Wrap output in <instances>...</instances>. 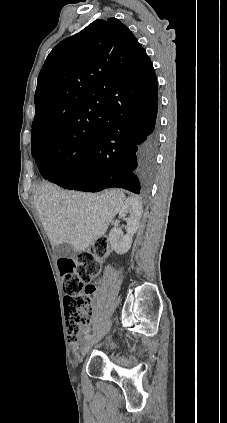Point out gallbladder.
Instances as JSON below:
<instances>
[{"mask_svg": "<svg viewBox=\"0 0 227 423\" xmlns=\"http://www.w3.org/2000/svg\"><path fill=\"white\" fill-rule=\"evenodd\" d=\"M54 253L56 257H74L76 251L74 247L68 245V243H60V245H55Z\"/></svg>", "mask_w": 227, "mask_h": 423, "instance_id": "1", "label": "gallbladder"}]
</instances>
